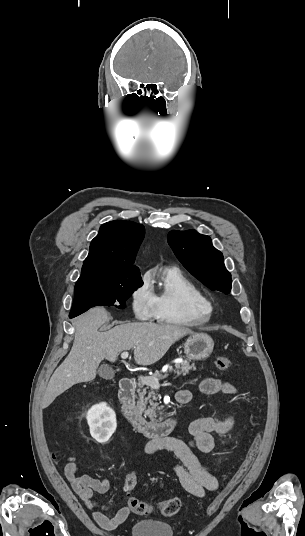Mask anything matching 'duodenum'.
<instances>
[{
    "label": "duodenum",
    "mask_w": 305,
    "mask_h": 536,
    "mask_svg": "<svg viewBox=\"0 0 305 536\" xmlns=\"http://www.w3.org/2000/svg\"><path fill=\"white\" fill-rule=\"evenodd\" d=\"M119 400L121 404V413L127 423L136 431L148 437L158 439L167 435L176 424L174 414H171L158 422H148L142 416L135 406V382L128 377L121 380ZM183 400L178 398V402Z\"/></svg>",
    "instance_id": "obj_1"
}]
</instances>
